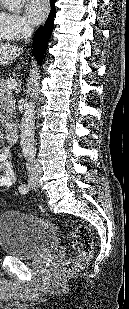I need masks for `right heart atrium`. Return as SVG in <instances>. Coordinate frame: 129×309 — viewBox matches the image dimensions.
Instances as JSON below:
<instances>
[{
	"mask_svg": "<svg viewBox=\"0 0 129 309\" xmlns=\"http://www.w3.org/2000/svg\"><path fill=\"white\" fill-rule=\"evenodd\" d=\"M0 28L8 40L18 41L32 32V26L17 12H0Z\"/></svg>",
	"mask_w": 129,
	"mask_h": 309,
	"instance_id": "1",
	"label": "right heart atrium"
}]
</instances>
